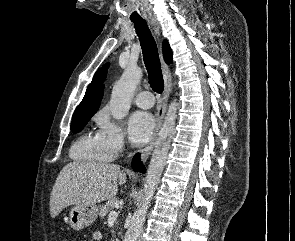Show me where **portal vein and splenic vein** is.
Here are the masks:
<instances>
[{
  "label": "portal vein and splenic vein",
  "instance_id": "obj_1",
  "mask_svg": "<svg viewBox=\"0 0 295 241\" xmlns=\"http://www.w3.org/2000/svg\"><path fill=\"white\" fill-rule=\"evenodd\" d=\"M109 220H116L117 219V213L115 211H111L108 215Z\"/></svg>",
  "mask_w": 295,
  "mask_h": 241
}]
</instances>
